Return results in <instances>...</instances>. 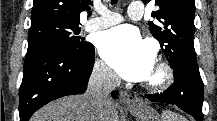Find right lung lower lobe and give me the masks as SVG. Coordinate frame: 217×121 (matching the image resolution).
<instances>
[{
    "instance_id": "1",
    "label": "right lung lower lobe",
    "mask_w": 217,
    "mask_h": 121,
    "mask_svg": "<svg viewBox=\"0 0 217 121\" xmlns=\"http://www.w3.org/2000/svg\"><path fill=\"white\" fill-rule=\"evenodd\" d=\"M94 64V46L90 43L82 53L59 49L27 52L23 79L19 90L20 121L48 102L71 94H82ZM117 91L112 93L117 97Z\"/></svg>"
}]
</instances>
